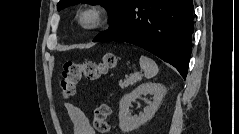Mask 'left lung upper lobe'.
Segmentation results:
<instances>
[{
    "mask_svg": "<svg viewBox=\"0 0 239 134\" xmlns=\"http://www.w3.org/2000/svg\"><path fill=\"white\" fill-rule=\"evenodd\" d=\"M129 1L130 0H60L57 9L60 11L70 5H75L80 2L100 4L108 11L110 24L113 26L119 20Z\"/></svg>",
    "mask_w": 239,
    "mask_h": 134,
    "instance_id": "left-lung-upper-lobe-1",
    "label": "left lung upper lobe"
}]
</instances>
